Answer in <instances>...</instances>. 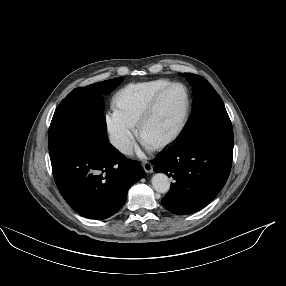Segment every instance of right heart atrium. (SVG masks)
Returning <instances> with one entry per match:
<instances>
[{
    "mask_svg": "<svg viewBox=\"0 0 286 286\" xmlns=\"http://www.w3.org/2000/svg\"><path fill=\"white\" fill-rule=\"evenodd\" d=\"M104 120L111 144L122 152L132 148L136 138L135 125L116 107L106 113Z\"/></svg>",
    "mask_w": 286,
    "mask_h": 286,
    "instance_id": "d8ad5b80",
    "label": "right heart atrium"
}]
</instances>
